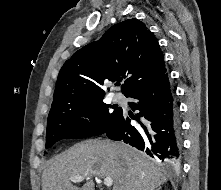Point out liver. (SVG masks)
I'll return each mask as SVG.
<instances>
[{
  "label": "liver",
  "mask_w": 221,
  "mask_h": 190,
  "mask_svg": "<svg viewBox=\"0 0 221 190\" xmlns=\"http://www.w3.org/2000/svg\"><path fill=\"white\" fill-rule=\"evenodd\" d=\"M83 176L81 187L70 178ZM112 178V190H155L167 178L150 158L122 142L87 140L57 155L42 174V190H95L93 177Z\"/></svg>",
  "instance_id": "1"
}]
</instances>
